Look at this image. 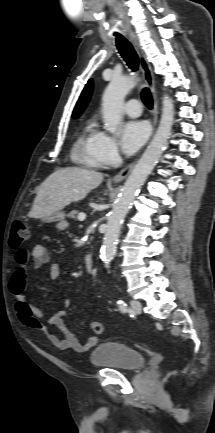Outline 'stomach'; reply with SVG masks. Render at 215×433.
<instances>
[{"label": "stomach", "instance_id": "stomach-1", "mask_svg": "<svg viewBox=\"0 0 215 433\" xmlns=\"http://www.w3.org/2000/svg\"><path fill=\"white\" fill-rule=\"evenodd\" d=\"M64 213L62 211L53 212L50 216L43 218L45 222L62 221L64 219Z\"/></svg>", "mask_w": 215, "mask_h": 433}]
</instances>
